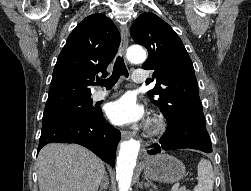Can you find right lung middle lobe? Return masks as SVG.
Instances as JSON below:
<instances>
[{"label": "right lung middle lobe", "mask_w": 251, "mask_h": 191, "mask_svg": "<svg viewBox=\"0 0 251 191\" xmlns=\"http://www.w3.org/2000/svg\"><path fill=\"white\" fill-rule=\"evenodd\" d=\"M92 104L93 101L90 98L45 109L42 118V126L71 116L94 117L100 113V110L94 108Z\"/></svg>", "instance_id": "1"}]
</instances>
